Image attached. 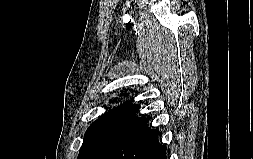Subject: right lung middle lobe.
Here are the masks:
<instances>
[{"mask_svg": "<svg viewBox=\"0 0 253 159\" xmlns=\"http://www.w3.org/2000/svg\"><path fill=\"white\" fill-rule=\"evenodd\" d=\"M139 105L124 104L103 114L88 128L78 159H93L113 142L137 128L146 119L137 117Z\"/></svg>", "mask_w": 253, "mask_h": 159, "instance_id": "obj_1", "label": "right lung middle lobe"}]
</instances>
